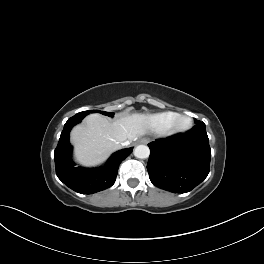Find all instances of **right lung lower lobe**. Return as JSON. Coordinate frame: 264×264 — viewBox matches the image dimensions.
Wrapping results in <instances>:
<instances>
[{
  "label": "right lung lower lobe",
  "instance_id": "right-lung-lower-lobe-1",
  "mask_svg": "<svg viewBox=\"0 0 264 264\" xmlns=\"http://www.w3.org/2000/svg\"><path fill=\"white\" fill-rule=\"evenodd\" d=\"M84 116H73L65 123L59 143L54 152L56 174L72 190L81 194H93L111 187L118 173L120 163L128 157L132 148L114 153L103 168L76 167L71 159L72 146L69 143L71 128Z\"/></svg>",
  "mask_w": 264,
  "mask_h": 264
}]
</instances>
